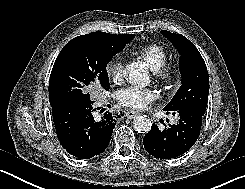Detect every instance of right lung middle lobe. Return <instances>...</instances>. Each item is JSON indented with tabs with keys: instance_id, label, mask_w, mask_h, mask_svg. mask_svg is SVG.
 Returning a JSON list of instances; mask_svg holds the SVG:
<instances>
[{
	"instance_id": "1",
	"label": "right lung middle lobe",
	"mask_w": 245,
	"mask_h": 189,
	"mask_svg": "<svg viewBox=\"0 0 245 189\" xmlns=\"http://www.w3.org/2000/svg\"><path fill=\"white\" fill-rule=\"evenodd\" d=\"M121 49L76 37L59 53L50 76L49 102L52 108L91 101L89 89L109 90L107 64Z\"/></svg>"
}]
</instances>
